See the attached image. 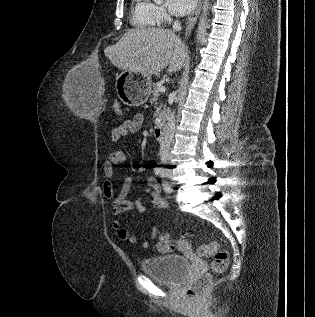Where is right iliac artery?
I'll use <instances>...</instances> for the list:
<instances>
[{
	"label": "right iliac artery",
	"instance_id": "right-iliac-artery-1",
	"mask_svg": "<svg viewBox=\"0 0 315 317\" xmlns=\"http://www.w3.org/2000/svg\"><path fill=\"white\" fill-rule=\"evenodd\" d=\"M154 171H155V174H156V175H160L161 172H162V168H161L160 166H158V167H156V168L154 169Z\"/></svg>",
	"mask_w": 315,
	"mask_h": 317
}]
</instances>
